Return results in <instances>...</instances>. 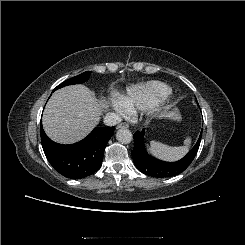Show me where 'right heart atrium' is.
I'll return each mask as SVG.
<instances>
[{"label": "right heart atrium", "instance_id": "d8ad5b80", "mask_svg": "<svg viewBox=\"0 0 245 245\" xmlns=\"http://www.w3.org/2000/svg\"><path fill=\"white\" fill-rule=\"evenodd\" d=\"M110 104H111L112 108L119 113L124 112V110H125V106L123 105L120 98H118V97H112L110 99Z\"/></svg>", "mask_w": 245, "mask_h": 245}]
</instances>
